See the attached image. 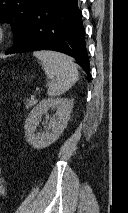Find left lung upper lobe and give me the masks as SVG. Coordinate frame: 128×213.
Segmentation results:
<instances>
[{
  "label": "left lung upper lobe",
  "instance_id": "5c2ea615",
  "mask_svg": "<svg viewBox=\"0 0 128 213\" xmlns=\"http://www.w3.org/2000/svg\"><path fill=\"white\" fill-rule=\"evenodd\" d=\"M37 1L38 0H0V22L11 24L15 39L25 26Z\"/></svg>",
  "mask_w": 128,
  "mask_h": 213
}]
</instances>
